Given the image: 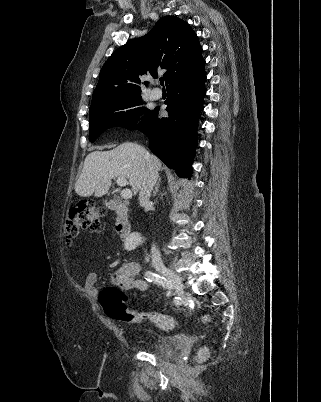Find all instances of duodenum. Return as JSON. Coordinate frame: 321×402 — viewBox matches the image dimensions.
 <instances>
[{"label":"duodenum","instance_id":"1","mask_svg":"<svg viewBox=\"0 0 321 402\" xmlns=\"http://www.w3.org/2000/svg\"><path fill=\"white\" fill-rule=\"evenodd\" d=\"M106 207L116 214L115 230L120 239L126 240L132 231L131 223L127 217L125 203L118 199H110L105 202Z\"/></svg>","mask_w":321,"mask_h":402}]
</instances>
